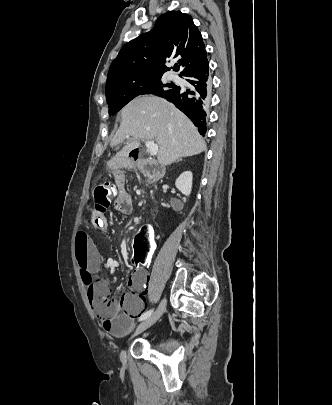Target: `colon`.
Listing matches in <instances>:
<instances>
[{
	"label": "colon",
	"mask_w": 332,
	"mask_h": 405,
	"mask_svg": "<svg viewBox=\"0 0 332 405\" xmlns=\"http://www.w3.org/2000/svg\"><path fill=\"white\" fill-rule=\"evenodd\" d=\"M117 184L102 183L96 187L94 191V206L93 208H100L102 215L100 217H93L94 223L99 224L103 219L105 210L109 207L112 208L113 199L119 197ZM155 231H150L148 227L140 228L134 237V243L131 248V265L132 267H149L150 260L155 256ZM88 289V297L94 310L103 319L107 320L116 316L119 307L123 306L128 297L125 295L117 299L112 292V287L107 280H98L91 283Z\"/></svg>",
	"instance_id": "5ec220e1"
}]
</instances>
